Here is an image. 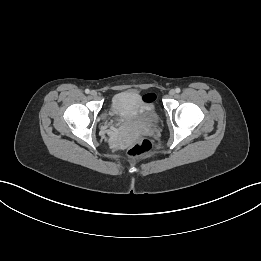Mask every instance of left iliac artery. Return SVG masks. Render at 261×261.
I'll list each match as a JSON object with an SVG mask.
<instances>
[{"mask_svg":"<svg viewBox=\"0 0 261 261\" xmlns=\"http://www.w3.org/2000/svg\"><path fill=\"white\" fill-rule=\"evenodd\" d=\"M175 91H176V93H180L181 90H180V88H176Z\"/></svg>","mask_w":261,"mask_h":261,"instance_id":"44dca946","label":"left iliac artery"}]
</instances>
